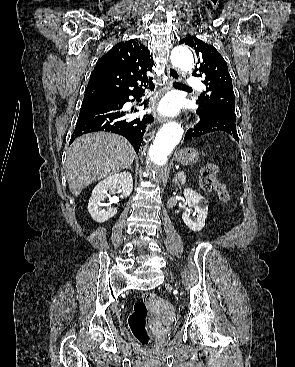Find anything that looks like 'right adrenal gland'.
<instances>
[{"label":"right adrenal gland","instance_id":"obj_1","mask_svg":"<svg viewBox=\"0 0 295 367\" xmlns=\"http://www.w3.org/2000/svg\"><path fill=\"white\" fill-rule=\"evenodd\" d=\"M127 169H129V170H131L132 171V166L130 165V166H128L127 167Z\"/></svg>","mask_w":295,"mask_h":367}]
</instances>
